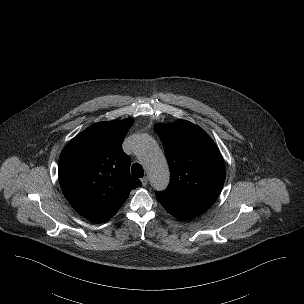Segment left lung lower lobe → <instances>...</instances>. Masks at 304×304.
<instances>
[{
  "mask_svg": "<svg viewBox=\"0 0 304 304\" xmlns=\"http://www.w3.org/2000/svg\"><path fill=\"white\" fill-rule=\"evenodd\" d=\"M159 201V200H158ZM160 204L165 208V210L170 213L172 216H174L175 218L179 219V220H187V219H191L193 218L194 216L184 212V211H181L180 209L174 207V206H171L169 204H166L162 201H159Z\"/></svg>",
  "mask_w": 304,
  "mask_h": 304,
  "instance_id": "1",
  "label": "left lung lower lobe"
}]
</instances>
